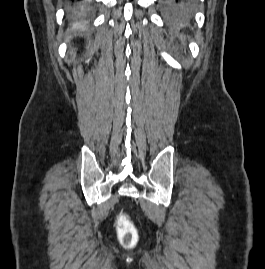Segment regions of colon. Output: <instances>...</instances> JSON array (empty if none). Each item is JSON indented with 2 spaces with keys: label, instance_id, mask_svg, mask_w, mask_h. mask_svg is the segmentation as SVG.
<instances>
[{
  "label": "colon",
  "instance_id": "5ec220e1",
  "mask_svg": "<svg viewBox=\"0 0 265 269\" xmlns=\"http://www.w3.org/2000/svg\"><path fill=\"white\" fill-rule=\"evenodd\" d=\"M118 228L121 235V241L124 244H130L136 237V230L132 222L125 216L118 217Z\"/></svg>",
  "mask_w": 265,
  "mask_h": 269
}]
</instances>
